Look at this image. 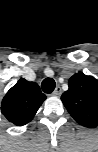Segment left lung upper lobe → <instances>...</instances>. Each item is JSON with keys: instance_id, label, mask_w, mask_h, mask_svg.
<instances>
[{"instance_id": "obj_1", "label": "left lung upper lobe", "mask_w": 98, "mask_h": 152, "mask_svg": "<svg viewBox=\"0 0 98 152\" xmlns=\"http://www.w3.org/2000/svg\"><path fill=\"white\" fill-rule=\"evenodd\" d=\"M61 100L73 119L88 128L98 126V80L83 72L74 74Z\"/></svg>"}]
</instances>
